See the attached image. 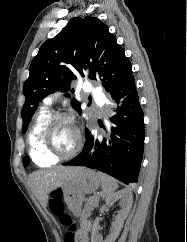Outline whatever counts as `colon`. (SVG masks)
I'll use <instances>...</instances> for the list:
<instances>
[{
	"label": "colon",
	"mask_w": 187,
	"mask_h": 242,
	"mask_svg": "<svg viewBox=\"0 0 187 242\" xmlns=\"http://www.w3.org/2000/svg\"><path fill=\"white\" fill-rule=\"evenodd\" d=\"M50 209L53 214L60 217L62 224L69 227V232L66 234L65 242H79L75 234V226L70 217L64 213V206L59 192H55L50 200Z\"/></svg>",
	"instance_id": "1"
}]
</instances>
